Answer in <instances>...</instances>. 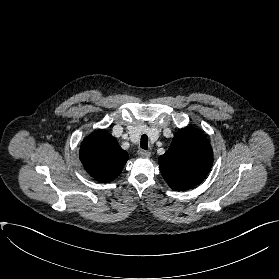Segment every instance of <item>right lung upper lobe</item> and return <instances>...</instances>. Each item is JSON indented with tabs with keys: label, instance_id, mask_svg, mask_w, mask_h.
Masks as SVG:
<instances>
[{
	"label": "right lung upper lobe",
	"instance_id": "obj_1",
	"mask_svg": "<svg viewBox=\"0 0 279 279\" xmlns=\"http://www.w3.org/2000/svg\"><path fill=\"white\" fill-rule=\"evenodd\" d=\"M79 156L85 170L103 183L117 178L128 160V153L106 130H97L87 136Z\"/></svg>",
	"mask_w": 279,
	"mask_h": 279
}]
</instances>
